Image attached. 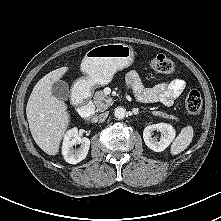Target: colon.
Wrapping results in <instances>:
<instances>
[{"mask_svg": "<svg viewBox=\"0 0 221 221\" xmlns=\"http://www.w3.org/2000/svg\"><path fill=\"white\" fill-rule=\"evenodd\" d=\"M151 67L164 74H169L174 71L173 61L163 54H158L151 59ZM185 108L188 114L197 115L202 109V98L197 90L190 91L185 98Z\"/></svg>", "mask_w": 221, "mask_h": 221, "instance_id": "obj_1", "label": "colon"}]
</instances>
